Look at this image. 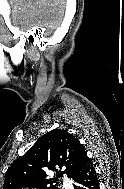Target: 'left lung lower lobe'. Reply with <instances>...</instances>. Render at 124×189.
<instances>
[{
    "label": "left lung lower lobe",
    "mask_w": 124,
    "mask_h": 189,
    "mask_svg": "<svg viewBox=\"0 0 124 189\" xmlns=\"http://www.w3.org/2000/svg\"><path fill=\"white\" fill-rule=\"evenodd\" d=\"M75 189H100L95 164L88 157L81 166V169L71 177Z\"/></svg>",
    "instance_id": "1"
}]
</instances>
